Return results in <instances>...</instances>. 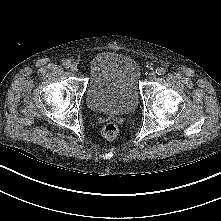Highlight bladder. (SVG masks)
<instances>
[{"label": "bladder", "instance_id": "bladder-1", "mask_svg": "<svg viewBox=\"0 0 221 221\" xmlns=\"http://www.w3.org/2000/svg\"><path fill=\"white\" fill-rule=\"evenodd\" d=\"M140 76L138 62L127 54L116 51L95 54L89 64L88 107L107 114L134 111L139 102Z\"/></svg>", "mask_w": 221, "mask_h": 221}]
</instances>
